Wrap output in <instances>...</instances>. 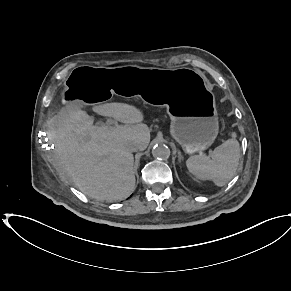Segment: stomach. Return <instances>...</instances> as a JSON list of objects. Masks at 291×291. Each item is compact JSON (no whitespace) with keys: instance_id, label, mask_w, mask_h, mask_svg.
<instances>
[{"instance_id":"1","label":"stomach","mask_w":291,"mask_h":291,"mask_svg":"<svg viewBox=\"0 0 291 291\" xmlns=\"http://www.w3.org/2000/svg\"><path fill=\"white\" fill-rule=\"evenodd\" d=\"M62 101L98 103L111 94L138 95L164 104L171 119L170 133L184 152L193 154L210 147L218 131L215 97L205 76L197 70L143 68L134 65L112 69L82 65L67 80Z\"/></svg>"}]
</instances>
